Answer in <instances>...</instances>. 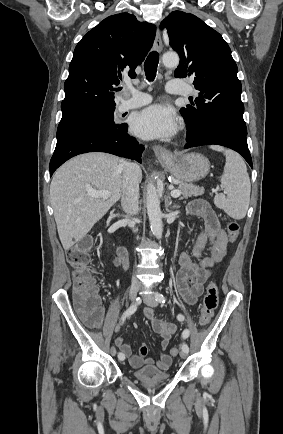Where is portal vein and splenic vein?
Wrapping results in <instances>:
<instances>
[{"instance_id":"18ae733b","label":"portal vein and splenic vein","mask_w":283,"mask_h":434,"mask_svg":"<svg viewBox=\"0 0 283 434\" xmlns=\"http://www.w3.org/2000/svg\"><path fill=\"white\" fill-rule=\"evenodd\" d=\"M87 194L91 197H95V198H103V199H107L110 196V193L108 191H96V190H88ZM181 195V192L179 190H172L171 191V196L173 198H177Z\"/></svg>"}]
</instances>
